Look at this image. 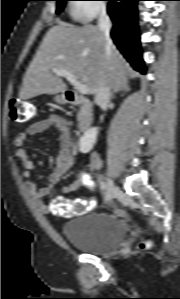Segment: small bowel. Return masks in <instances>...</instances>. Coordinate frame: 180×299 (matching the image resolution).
I'll return each mask as SVG.
<instances>
[{"instance_id": "obj_1", "label": "small bowel", "mask_w": 180, "mask_h": 299, "mask_svg": "<svg viewBox=\"0 0 180 299\" xmlns=\"http://www.w3.org/2000/svg\"><path fill=\"white\" fill-rule=\"evenodd\" d=\"M51 128H54L59 133L60 151L55 157V169L49 177V184L44 187H38L32 179V171L35 169L36 164L29 158L23 144L29 136L41 134ZM71 130V123L68 119L57 114H50L44 119L29 125L24 132L19 133L14 139L15 155L24 167L23 176L27 194L43 213L50 212L51 207L43 203L42 198L50 193L52 187L60 182L76 161ZM38 164L41 165L42 163L38 162ZM90 167L93 171H97L100 169L101 163L97 158H93ZM82 184L83 180L77 177L64 185L62 192L63 194H71L79 189Z\"/></svg>"}]
</instances>
